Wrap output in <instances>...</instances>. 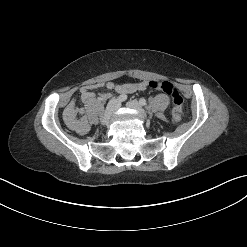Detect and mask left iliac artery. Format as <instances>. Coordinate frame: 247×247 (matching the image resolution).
Returning a JSON list of instances; mask_svg holds the SVG:
<instances>
[{
  "label": "left iliac artery",
  "instance_id": "44dca946",
  "mask_svg": "<svg viewBox=\"0 0 247 247\" xmlns=\"http://www.w3.org/2000/svg\"><path fill=\"white\" fill-rule=\"evenodd\" d=\"M139 103H140V105L144 106V105H146V100L144 98H141L139 100Z\"/></svg>",
  "mask_w": 247,
  "mask_h": 247
}]
</instances>
